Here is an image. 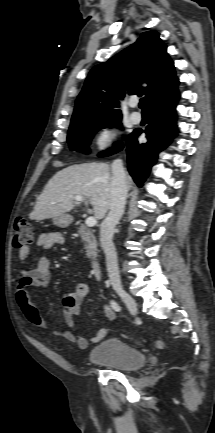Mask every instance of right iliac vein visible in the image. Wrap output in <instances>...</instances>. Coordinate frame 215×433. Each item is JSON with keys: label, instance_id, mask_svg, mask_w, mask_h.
<instances>
[{"label": "right iliac vein", "instance_id": "right-iliac-vein-1", "mask_svg": "<svg viewBox=\"0 0 215 433\" xmlns=\"http://www.w3.org/2000/svg\"><path fill=\"white\" fill-rule=\"evenodd\" d=\"M119 296L128 307L132 315H136L138 308L136 301L126 292H119Z\"/></svg>", "mask_w": 215, "mask_h": 433}]
</instances>
